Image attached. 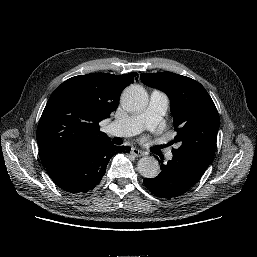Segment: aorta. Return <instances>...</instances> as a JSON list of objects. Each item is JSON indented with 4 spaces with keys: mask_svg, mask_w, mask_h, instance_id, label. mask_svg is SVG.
Returning a JSON list of instances; mask_svg holds the SVG:
<instances>
[{
    "mask_svg": "<svg viewBox=\"0 0 257 257\" xmlns=\"http://www.w3.org/2000/svg\"><path fill=\"white\" fill-rule=\"evenodd\" d=\"M122 107L129 112H137L148 104L146 90L139 85L127 87L121 95ZM138 172L145 178H154L159 174L160 166L154 157H143L137 164Z\"/></svg>",
    "mask_w": 257,
    "mask_h": 257,
    "instance_id": "762f6f07",
    "label": "aorta"
}]
</instances>
